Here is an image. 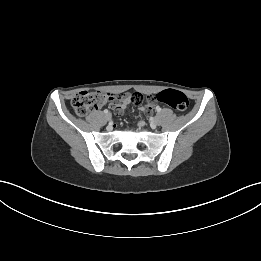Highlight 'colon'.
Here are the masks:
<instances>
[{
    "label": "colon",
    "instance_id": "5ec220e1",
    "mask_svg": "<svg viewBox=\"0 0 261 261\" xmlns=\"http://www.w3.org/2000/svg\"><path fill=\"white\" fill-rule=\"evenodd\" d=\"M155 99L178 112H184L188 107L187 97L177 90H163L156 95ZM118 100L119 95L116 96L103 91H82L73 97L71 104L76 114L84 116L106 103Z\"/></svg>",
    "mask_w": 261,
    "mask_h": 261
}]
</instances>
